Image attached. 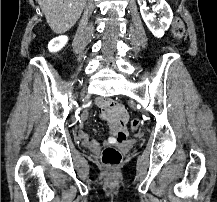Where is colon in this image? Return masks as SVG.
<instances>
[{
  "label": "colon",
  "mask_w": 217,
  "mask_h": 202,
  "mask_svg": "<svg viewBox=\"0 0 217 202\" xmlns=\"http://www.w3.org/2000/svg\"><path fill=\"white\" fill-rule=\"evenodd\" d=\"M173 34L178 39H184L186 37L185 23L181 17H175L173 26ZM140 125V121L136 118L132 119L130 122V130L132 135H139V130H136ZM102 162L109 168L110 177H115L114 168H116L122 161L121 152L113 146H107L103 149L102 152Z\"/></svg>",
  "instance_id": "1"
}]
</instances>
